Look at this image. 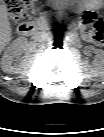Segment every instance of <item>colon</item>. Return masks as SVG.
Returning a JSON list of instances; mask_svg holds the SVG:
<instances>
[{"label": "colon", "mask_w": 104, "mask_h": 137, "mask_svg": "<svg viewBox=\"0 0 104 137\" xmlns=\"http://www.w3.org/2000/svg\"><path fill=\"white\" fill-rule=\"evenodd\" d=\"M4 6L13 20H22L26 17L32 0H2ZM81 23L86 34L96 44H102L104 40V20L100 14L92 10H86L82 14Z\"/></svg>", "instance_id": "obj_1"}]
</instances>
